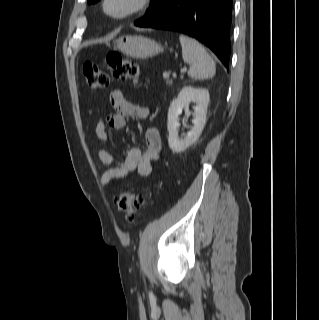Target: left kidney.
Listing matches in <instances>:
<instances>
[{
    "mask_svg": "<svg viewBox=\"0 0 319 320\" xmlns=\"http://www.w3.org/2000/svg\"><path fill=\"white\" fill-rule=\"evenodd\" d=\"M209 100L210 96L207 89L185 86L179 92L178 97L172 101L168 110L167 128L169 147L174 153L183 152L199 138L206 123ZM190 102L196 103L194 119L192 120L194 126L184 139H180L178 137L179 115L185 109V115L190 116Z\"/></svg>",
    "mask_w": 319,
    "mask_h": 320,
    "instance_id": "obj_1",
    "label": "left kidney"
}]
</instances>
